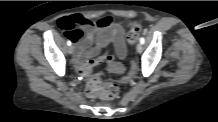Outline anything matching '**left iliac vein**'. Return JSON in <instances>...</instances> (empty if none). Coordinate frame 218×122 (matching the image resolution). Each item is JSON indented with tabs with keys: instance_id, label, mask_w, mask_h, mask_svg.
<instances>
[{
	"instance_id": "left-iliac-vein-1",
	"label": "left iliac vein",
	"mask_w": 218,
	"mask_h": 122,
	"mask_svg": "<svg viewBox=\"0 0 218 122\" xmlns=\"http://www.w3.org/2000/svg\"><path fill=\"white\" fill-rule=\"evenodd\" d=\"M136 49H137V52H138V53H142V51H143V46H142V44H141V43H138L137 46H136Z\"/></svg>"
}]
</instances>
